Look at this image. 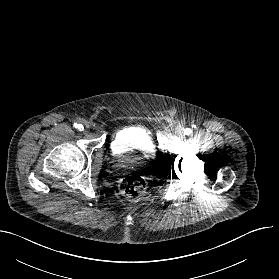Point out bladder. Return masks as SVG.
<instances>
[{
  "label": "bladder",
  "instance_id": "1",
  "mask_svg": "<svg viewBox=\"0 0 279 279\" xmlns=\"http://www.w3.org/2000/svg\"><path fill=\"white\" fill-rule=\"evenodd\" d=\"M111 150L120 165L139 166L156 157V145L150 130L144 126H128L116 131Z\"/></svg>",
  "mask_w": 279,
  "mask_h": 279
}]
</instances>
